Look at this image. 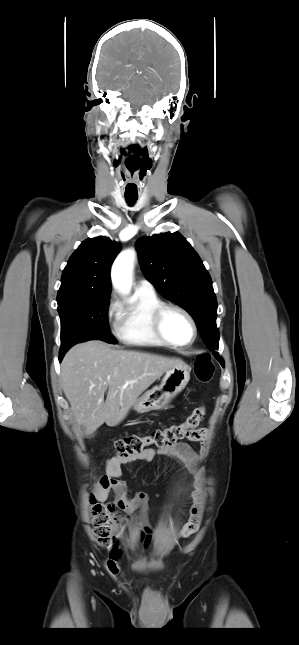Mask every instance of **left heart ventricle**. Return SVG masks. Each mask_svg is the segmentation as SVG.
Returning a JSON list of instances; mask_svg holds the SVG:
<instances>
[{
  "label": "left heart ventricle",
  "instance_id": "b2bd125f",
  "mask_svg": "<svg viewBox=\"0 0 299 645\" xmlns=\"http://www.w3.org/2000/svg\"><path fill=\"white\" fill-rule=\"evenodd\" d=\"M164 332L176 343H187L192 337V328L187 318L178 311L169 310L163 321Z\"/></svg>",
  "mask_w": 299,
  "mask_h": 645
}]
</instances>
